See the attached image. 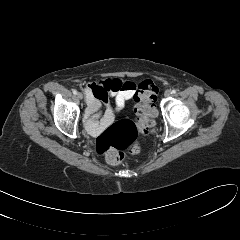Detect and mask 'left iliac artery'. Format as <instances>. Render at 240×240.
<instances>
[{"label": "left iliac artery", "mask_w": 240, "mask_h": 240, "mask_svg": "<svg viewBox=\"0 0 240 240\" xmlns=\"http://www.w3.org/2000/svg\"><path fill=\"white\" fill-rule=\"evenodd\" d=\"M171 93L175 94L176 93V89L171 90Z\"/></svg>", "instance_id": "left-iliac-artery-1"}]
</instances>
